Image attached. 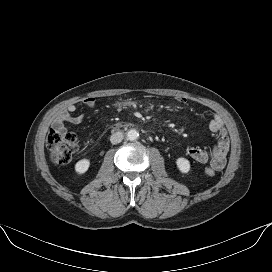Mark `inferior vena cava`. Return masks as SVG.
Masks as SVG:
<instances>
[{
	"instance_id": "obj_1",
	"label": "inferior vena cava",
	"mask_w": 272,
	"mask_h": 272,
	"mask_svg": "<svg viewBox=\"0 0 272 272\" xmlns=\"http://www.w3.org/2000/svg\"><path fill=\"white\" fill-rule=\"evenodd\" d=\"M123 138H124L123 133L118 131V132H115L111 135L110 141L112 144H118L123 140Z\"/></svg>"
}]
</instances>
